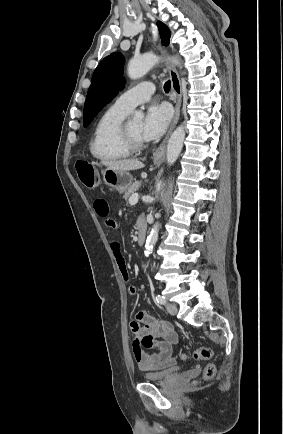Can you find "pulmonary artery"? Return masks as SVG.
Wrapping results in <instances>:
<instances>
[{
  "instance_id": "obj_1",
  "label": "pulmonary artery",
  "mask_w": 283,
  "mask_h": 434,
  "mask_svg": "<svg viewBox=\"0 0 283 434\" xmlns=\"http://www.w3.org/2000/svg\"><path fill=\"white\" fill-rule=\"evenodd\" d=\"M155 87L152 82H141L131 89L122 93L115 101L118 108L131 111L137 105L147 102L154 93Z\"/></svg>"
}]
</instances>
